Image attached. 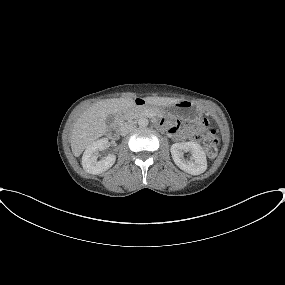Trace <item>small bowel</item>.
<instances>
[{"mask_svg": "<svg viewBox=\"0 0 285 285\" xmlns=\"http://www.w3.org/2000/svg\"><path fill=\"white\" fill-rule=\"evenodd\" d=\"M172 138L176 139V140H182L184 138H186V134L183 131H179L177 129V127H170L169 129Z\"/></svg>", "mask_w": 285, "mask_h": 285, "instance_id": "c3829d8e", "label": "small bowel"}]
</instances>
